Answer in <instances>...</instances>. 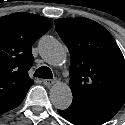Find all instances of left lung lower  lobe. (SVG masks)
Instances as JSON below:
<instances>
[{"label":"left lung lower lobe","instance_id":"left-lung-lower-lobe-1","mask_svg":"<svg viewBox=\"0 0 125 125\" xmlns=\"http://www.w3.org/2000/svg\"><path fill=\"white\" fill-rule=\"evenodd\" d=\"M114 105L71 106L58 113L75 125H101L109 121L118 111Z\"/></svg>","mask_w":125,"mask_h":125}]
</instances>
